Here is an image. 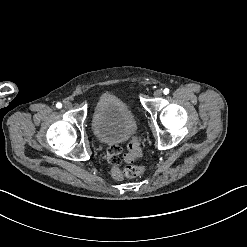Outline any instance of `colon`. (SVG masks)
Instances as JSON below:
<instances>
[{
  "mask_svg": "<svg viewBox=\"0 0 247 247\" xmlns=\"http://www.w3.org/2000/svg\"><path fill=\"white\" fill-rule=\"evenodd\" d=\"M130 152H125L122 155V160L125 163H130L133 161V157H135L134 163L137 160L136 155L141 153V147L136 138H133L129 144ZM133 163V164H134ZM147 175V168L144 165L130 166L129 168L123 169H114L112 170V176L115 178H122L124 181H131L132 179H140L144 178Z\"/></svg>",
  "mask_w": 247,
  "mask_h": 247,
  "instance_id": "colon-1",
  "label": "colon"
}]
</instances>
